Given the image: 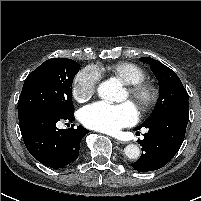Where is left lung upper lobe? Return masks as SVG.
I'll use <instances>...</instances> for the list:
<instances>
[{"label": "left lung upper lobe", "instance_id": "obj_1", "mask_svg": "<svg viewBox=\"0 0 201 201\" xmlns=\"http://www.w3.org/2000/svg\"><path fill=\"white\" fill-rule=\"evenodd\" d=\"M140 60L150 65L159 82L160 93L152 114L138 127L170 111H189L188 93L175 72L153 58L141 57Z\"/></svg>", "mask_w": 201, "mask_h": 201}]
</instances>
